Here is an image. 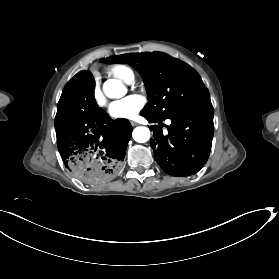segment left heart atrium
<instances>
[{
  "label": "left heart atrium",
  "mask_w": 279,
  "mask_h": 279,
  "mask_svg": "<svg viewBox=\"0 0 279 279\" xmlns=\"http://www.w3.org/2000/svg\"><path fill=\"white\" fill-rule=\"evenodd\" d=\"M144 98L139 95H129L122 100L113 102L108 109L113 119H134L144 107Z\"/></svg>",
  "instance_id": "1"
}]
</instances>
